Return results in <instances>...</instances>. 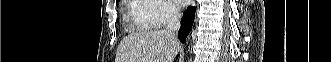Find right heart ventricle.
Returning <instances> with one entry per match:
<instances>
[{"instance_id": "obj_1", "label": "right heart ventricle", "mask_w": 331, "mask_h": 62, "mask_svg": "<svg viewBox=\"0 0 331 62\" xmlns=\"http://www.w3.org/2000/svg\"><path fill=\"white\" fill-rule=\"evenodd\" d=\"M150 9L142 1H130L126 8V22L131 23L138 30L152 29L148 23Z\"/></svg>"}]
</instances>
